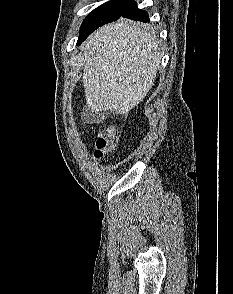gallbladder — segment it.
I'll return each instance as SVG.
<instances>
[{
	"label": "gallbladder",
	"instance_id": "gallbladder-1",
	"mask_svg": "<svg viewBox=\"0 0 233 294\" xmlns=\"http://www.w3.org/2000/svg\"><path fill=\"white\" fill-rule=\"evenodd\" d=\"M83 116H84V119H88L86 111L83 113ZM89 120H92V118H89Z\"/></svg>",
	"mask_w": 233,
	"mask_h": 294
}]
</instances>
